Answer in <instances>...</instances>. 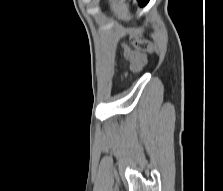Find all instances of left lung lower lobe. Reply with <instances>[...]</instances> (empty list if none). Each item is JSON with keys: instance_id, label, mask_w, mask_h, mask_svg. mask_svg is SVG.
Wrapping results in <instances>:
<instances>
[{"instance_id": "obj_1", "label": "left lung lower lobe", "mask_w": 223, "mask_h": 191, "mask_svg": "<svg viewBox=\"0 0 223 191\" xmlns=\"http://www.w3.org/2000/svg\"><path fill=\"white\" fill-rule=\"evenodd\" d=\"M138 1H139L141 6H144L149 2V0H138Z\"/></svg>"}]
</instances>
